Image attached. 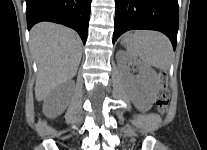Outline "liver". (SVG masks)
<instances>
[{
    "mask_svg": "<svg viewBox=\"0 0 207 150\" xmlns=\"http://www.w3.org/2000/svg\"><path fill=\"white\" fill-rule=\"evenodd\" d=\"M30 48L38 67L35 98L42 101L76 75L82 56L81 40L69 28L43 22L31 29Z\"/></svg>",
    "mask_w": 207,
    "mask_h": 150,
    "instance_id": "1",
    "label": "liver"
}]
</instances>
